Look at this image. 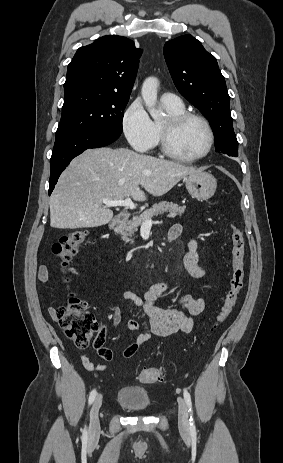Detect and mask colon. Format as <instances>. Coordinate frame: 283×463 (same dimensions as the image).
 <instances>
[{
	"instance_id": "obj_1",
	"label": "colon",
	"mask_w": 283,
	"mask_h": 463,
	"mask_svg": "<svg viewBox=\"0 0 283 463\" xmlns=\"http://www.w3.org/2000/svg\"><path fill=\"white\" fill-rule=\"evenodd\" d=\"M87 236L88 233L85 230H75L61 236L54 243L53 253L59 258L64 271H66L72 257L77 253L78 248L85 243ZM231 238L233 244L232 272L229 289L212 326V331L216 330L229 317L244 285L245 242L242 231L234 225L231 226ZM55 318L66 335L77 346L86 347L93 340V346L98 355L106 360H111V351L103 346L105 331L94 313L86 308L85 303L80 298L70 296L64 305L56 309ZM135 351V348L129 350V352ZM138 379L145 384L157 383L163 379V372L160 368H147L138 374Z\"/></svg>"
}]
</instances>
